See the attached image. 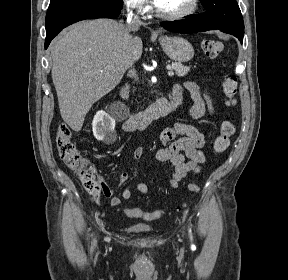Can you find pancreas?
Returning a JSON list of instances; mask_svg holds the SVG:
<instances>
[{
    "label": "pancreas",
    "mask_w": 288,
    "mask_h": 280,
    "mask_svg": "<svg viewBox=\"0 0 288 280\" xmlns=\"http://www.w3.org/2000/svg\"><path fill=\"white\" fill-rule=\"evenodd\" d=\"M167 67H170L172 70H175L176 75L179 77L185 76L190 71V67L184 66L181 63H177V62H172Z\"/></svg>",
    "instance_id": "obj_1"
}]
</instances>
